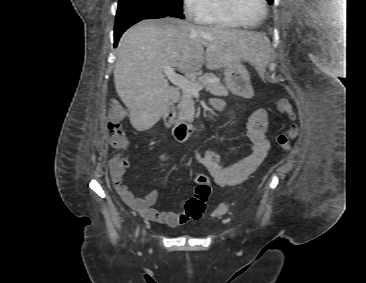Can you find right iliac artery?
Instances as JSON below:
<instances>
[{"mask_svg":"<svg viewBox=\"0 0 366 283\" xmlns=\"http://www.w3.org/2000/svg\"><path fill=\"white\" fill-rule=\"evenodd\" d=\"M138 232H139V228H137V231H136V236H138Z\"/></svg>","mask_w":366,"mask_h":283,"instance_id":"82829eb1","label":"right iliac artery"}]
</instances>
